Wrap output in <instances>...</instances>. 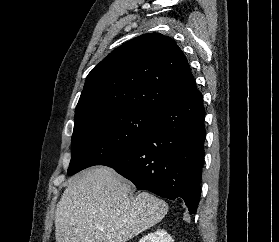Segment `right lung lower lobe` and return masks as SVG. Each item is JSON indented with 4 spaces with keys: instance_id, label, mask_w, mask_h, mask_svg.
Instances as JSON below:
<instances>
[{
    "instance_id": "obj_1",
    "label": "right lung lower lobe",
    "mask_w": 279,
    "mask_h": 242,
    "mask_svg": "<svg viewBox=\"0 0 279 242\" xmlns=\"http://www.w3.org/2000/svg\"><path fill=\"white\" fill-rule=\"evenodd\" d=\"M204 142L205 111L201 95L161 110L150 133L100 165L115 169L138 189L171 200L181 197L194 214L201 194Z\"/></svg>"
}]
</instances>
